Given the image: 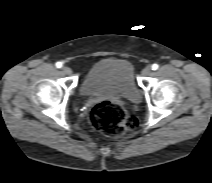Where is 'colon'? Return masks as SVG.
<instances>
[{"instance_id": "obj_1", "label": "colon", "mask_w": 212, "mask_h": 183, "mask_svg": "<svg viewBox=\"0 0 212 183\" xmlns=\"http://www.w3.org/2000/svg\"><path fill=\"white\" fill-rule=\"evenodd\" d=\"M92 126L109 137H120L138 127V119L118 103L104 100L95 103L89 113Z\"/></svg>"}]
</instances>
